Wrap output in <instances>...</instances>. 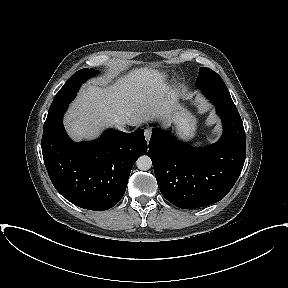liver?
Listing matches in <instances>:
<instances>
[{"mask_svg":"<svg viewBox=\"0 0 288 288\" xmlns=\"http://www.w3.org/2000/svg\"><path fill=\"white\" fill-rule=\"evenodd\" d=\"M167 88L160 73L137 68L114 84L99 79L85 85L65 116V127L75 141L96 138L107 126H139L168 117Z\"/></svg>","mask_w":288,"mask_h":288,"instance_id":"6515ba94","label":"liver"}]
</instances>
